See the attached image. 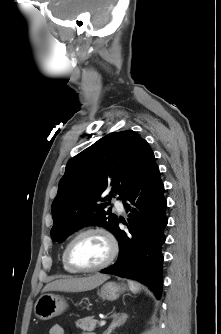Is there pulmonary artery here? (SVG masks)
I'll return each instance as SVG.
<instances>
[{
	"label": "pulmonary artery",
	"instance_id": "pulmonary-artery-1",
	"mask_svg": "<svg viewBox=\"0 0 221 334\" xmlns=\"http://www.w3.org/2000/svg\"><path fill=\"white\" fill-rule=\"evenodd\" d=\"M114 206L118 212L122 213L124 211V204L121 200L119 199L114 200Z\"/></svg>",
	"mask_w": 221,
	"mask_h": 334
}]
</instances>
